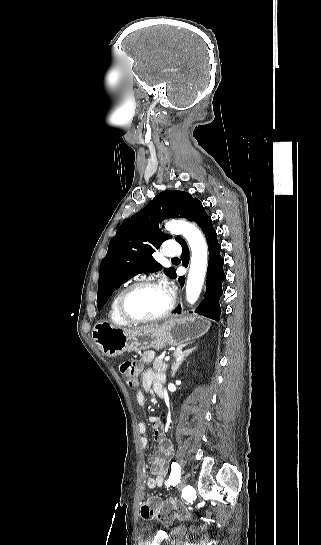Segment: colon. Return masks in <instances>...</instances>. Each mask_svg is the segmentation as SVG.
Instances as JSON below:
<instances>
[{"instance_id": "1", "label": "colon", "mask_w": 321, "mask_h": 545, "mask_svg": "<svg viewBox=\"0 0 321 545\" xmlns=\"http://www.w3.org/2000/svg\"><path fill=\"white\" fill-rule=\"evenodd\" d=\"M118 369L126 384L130 388L135 387V363L129 360L122 361ZM140 514L144 519L172 522L184 518L187 512L181 504L164 501L157 496L149 495L141 505Z\"/></svg>"}]
</instances>
